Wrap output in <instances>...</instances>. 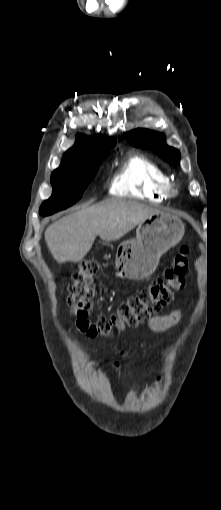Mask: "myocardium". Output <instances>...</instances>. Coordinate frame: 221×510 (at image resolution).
<instances>
[{"instance_id":"f54148a6","label":"myocardium","mask_w":221,"mask_h":510,"mask_svg":"<svg viewBox=\"0 0 221 510\" xmlns=\"http://www.w3.org/2000/svg\"><path fill=\"white\" fill-rule=\"evenodd\" d=\"M166 194L169 197H174L177 194V189L172 182H169L165 188Z\"/></svg>"}]
</instances>
